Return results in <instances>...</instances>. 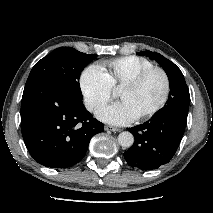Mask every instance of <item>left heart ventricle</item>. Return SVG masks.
Instances as JSON below:
<instances>
[{"label":"left heart ventricle","instance_id":"b2bd125f","mask_svg":"<svg viewBox=\"0 0 213 213\" xmlns=\"http://www.w3.org/2000/svg\"><path fill=\"white\" fill-rule=\"evenodd\" d=\"M164 88V79L161 74L153 73L137 87L120 89L118 98L125 101L137 117L153 108L161 100Z\"/></svg>","mask_w":213,"mask_h":213}]
</instances>
